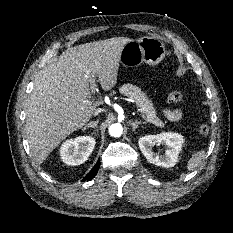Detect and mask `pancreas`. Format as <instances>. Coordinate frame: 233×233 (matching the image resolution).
<instances>
[{
  "mask_svg": "<svg viewBox=\"0 0 233 233\" xmlns=\"http://www.w3.org/2000/svg\"><path fill=\"white\" fill-rule=\"evenodd\" d=\"M119 92L135 100L137 107H139L142 116L147 122L153 123L161 128L164 127V123L156 116L152 102L139 87L128 83L122 85L119 88Z\"/></svg>",
  "mask_w": 233,
  "mask_h": 233,
  "instance_id": "1",
  "label": "pancreas"
}]
</instances>
